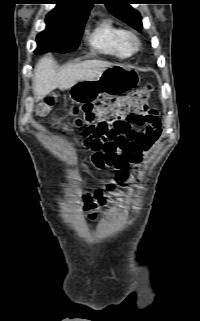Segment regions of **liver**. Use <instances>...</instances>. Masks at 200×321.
I'll return each instance as SVG.
<instances>
[{
    "instance_id": "liver-1",
    "label": "liver",
    "mask_w": 200,
    "mask_h": 321,
    "mask_svg": "<svg viewBox=\"0 0 200 321\" xmlns=\"http://www.w3.org/2000/svg\"><path fill=\"white\" fill-rule=\"evenodd\" d=\"M112 65L107 61L87 60L68 64L59 70L52 56H45L39 60L34 70L33 90L36 100L43 99L56 88L63 91L70 89L78 81L95 79Z\"/></svg>"
}]
</instances>
